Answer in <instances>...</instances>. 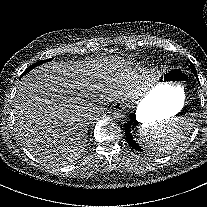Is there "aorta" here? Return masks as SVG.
<instances>
[{
    "label": "aorta",
    "instance_id": "762f6f07",
    "mask_svg": "<svg viewBox=\"0 0 207 207\" xmlns=\"http://www.w3.org/2000/svg\"><path fill=\"white\" fill-rule=\"evenodd\" d=\"M113 117L118 122H126L129 119L128 110L125 107H120L113 112Z\"/></svg>",
    "mask_w": 207,
    "mask_h": 207
}]
</instances>
